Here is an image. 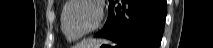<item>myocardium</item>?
Returning <instances> with one entry per match:
<instances>
[{"instance_id":"f54148a6","label":"myocardium","mask_w":213,"mask_h":48,"mask_svg":"<svg viewBox=\"0 0 213 48\" xmlns=\"http://www.w3.org/2000/svg\"><path fill=\"white\" fill-rule=\"evenodd\" d=\"M79 1L90 3L96 8L97 20H96L95 24L89 30L82 32V33H74L67 26L66 15H67V12L69 11L70 7L73 4H75ZM103 19H104V9H103L101 2L98 1V0H70V1L67 2L66 6L64 7V9L62 11V16H61V22H62L63 30L68 35H70L72 37H76L78 39L85 37V36L93 33L94 31H96L100 27V25L102 24Z\"/></svg>"}]
</instances>
